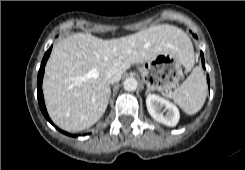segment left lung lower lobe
<instances>
[{
	"mask_svg": "<svg viewBox=\"0 0 245 170\" xmlns=\"http://www.w3.org/2000/svg\"><path fill=\"white\" fill-rule=\"evenodd\" d=\"M201 60H202V65L205 68L204 56H203V53L202 52H201ZM207 81H208V84H209V77L208 76H207Z\"/></svg>",
	"mask_w": 245,
	"mask_h": 170,
	"instance_id": "left-lung-lower-lobe-1",
	"label": "left lung lower lobe"
}]
</instances>
